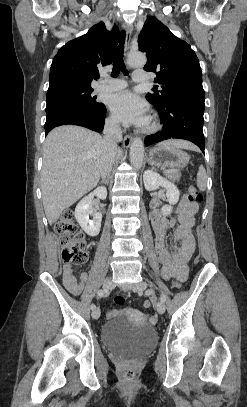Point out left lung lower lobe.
<instances>
[{
  "mask_svg": "<svg viewBox=\"0 0 247 407\" xmlns=\"http://www.w3.org/2000/svg\"><path fill=\"white\" fill-rule=\"evenodd\" d=\"M162 130L145 138L146 147L163 140L178 138L196 144L204 153V102L180 99L171 101L164 110H158Z\"/></svg>",
  "mask_w": 247,
  "mask_h": 407,
  "instance_id": "obj_1",
  "label": "left lung lower lobe"
}]
</instances>
